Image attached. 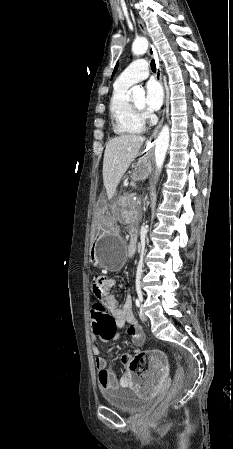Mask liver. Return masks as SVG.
<instances>
[{
    "instance_id": "obj_1",
    "label": "liver",
    "mask_w": 233,
    "mask_h": 449,
    "mask_svg": "<svg viewBox=\"0 0 233 449\" xmlns=\"http://www.w3.org/2000/svg\"><path fill=\"white\" fill-rule=\"evenodd\" d=\"M145 137L123 134L108 141L103 159V183L111 199L130 164L139 154Z\"/></svg>"
}]
</instances>
